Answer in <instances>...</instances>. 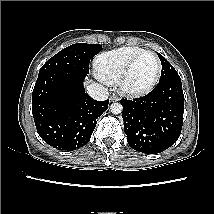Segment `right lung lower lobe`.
Returning <instances> with one entry per match:
<instances>
[{
	"label": "right lung lower lobe",
	"mask_w": 214,
	"mask_h": 214,
	"mask_svg": "<svg viewBox=\"0 0 214 214\" xmlns=\"http://www.w3.org/2000/svg\"><path fill=\"white\" fill-rule=\"evenodd\" d=\"M87 74L53 70L38 75L32 112L40 137L50 146L73 151L86 145L109 100L96 101L83 88Z\"/></svg>",
	"instance_id": "98d812e1"
}]
</instances>
